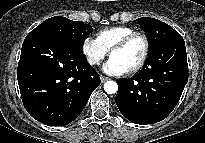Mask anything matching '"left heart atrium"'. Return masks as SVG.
<instances>
[{
	"instance_id": "obj_1",
	"label": "left heart atrium",
	"mask_w": 205,
	"mask_h": 143,
	"mask_svg": "<svg viewBox=\"0 0 205 143\" xmlns=\"http://www.w3.org/2000/svg\"><path fill=\"white\" fill-rule=\"evenodd\" d=\"M103 71L110 75H122L127 72V69L119 61L111 57L103 65Z\"/></svg>"
}]
</instances>
